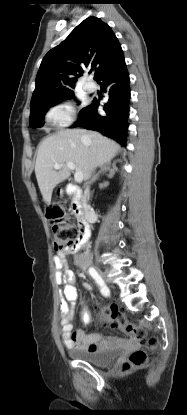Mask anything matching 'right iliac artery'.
I'll return each instance as SVG.
<instances>
[{
	"mask_svg": "<svg viewBox=\"0 0 187 415\" xmlns=\"http://www.w3.org/2000/svg\"><path fill=\"white\" fill-rule=\"evenodd\" d=\"M89 274L93 277L96 283L100 286L101 293L103 294V296H106V297L109 296L110 294L109 288L105 285L103 279L93 267L89 268Z\"/></svg>",
	"mask_w": 187,
	"mask_h": 415,
	"instance_id": "82829eb1",
	"label": "right iliac artery"
}]
</instances>
